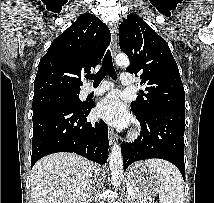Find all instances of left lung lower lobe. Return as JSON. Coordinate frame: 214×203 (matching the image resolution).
Here are the masks:
<instances>
[{
    "label": "left lung lower lobe",
    "mask_w": 214,
    "mask_h": 203,
    "mask_svg": "<svg viewBox=\"0 0 214 203\" xmlns=\"http://www.w3.org/2000/svg\"><path fill=\"white\" fill-rule=\"evenodd\" d=\"M134 114L142 131L134 142L122 143L124 170L135 161L159 158L173 163L185 180V110L163 108L146 116Z\"/></svg>",
    "instance_id": "left-lung-lower-lobe-1"
}]
</instances>
